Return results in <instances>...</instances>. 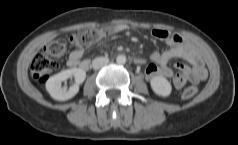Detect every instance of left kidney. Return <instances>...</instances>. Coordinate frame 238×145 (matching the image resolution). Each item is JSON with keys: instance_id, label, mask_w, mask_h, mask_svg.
Here are the masks:
<instances>
[{"instance_id": "obj_1", "label": "left kidney", "mask_w": 238, "mask_h": 145, "mask_svg": "<svg viewBox=\"0 0 238 145\" xmlns=\"http://www.w3.org/2000/svg\"><path fill=\"white\" fill-rule=\"evenodd\" d=\"M152 90L159 96L167 97L172 91L170 82L163 76H155L150 81Z\"/></svg>"}]
</instances>
